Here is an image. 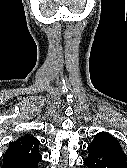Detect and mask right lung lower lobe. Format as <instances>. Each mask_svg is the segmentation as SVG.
<instances>
[{"label": "right lung lower lobe", "instance_id": "right-lung-lower-lobe-1", "mask_svg": "<svg viewBox=\"0 0 127 168\" xmlns=\"http://www.w3.org/2000/svg\"><path fill=\"white\" fill-rule=\"evenodd\" d=\"M41 157L34 159L4 160L1 168H38Z\"/></svg>", "mask_w": 127, "mask_h": 168}]
</instances>
